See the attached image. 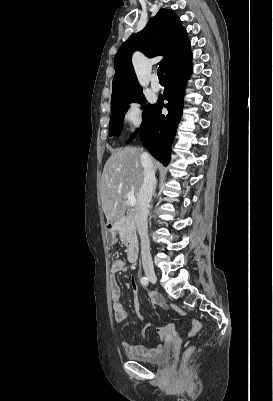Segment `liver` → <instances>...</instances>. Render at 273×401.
<instances>
[{
    "mask_svg": "<svg viewBox=\"0 0 273 401\" xmlns=\"http://www.w3.org/2000/svg\"><path fill=\"white\" fill-rule=\"evenodd\" d=\"M143 148L125 146L117 148L106 160L100 182L102 209L107 223H117L122 219L127 205V192H134L138 203L139 190L143 182ZM153 168H159L160 162L152 158Z\"/></svg>",
    "mask_w": 273,
    "mask_h": 401,
    "instance_id": "obj_1",
    "label": "liver"
}]
</instances>
